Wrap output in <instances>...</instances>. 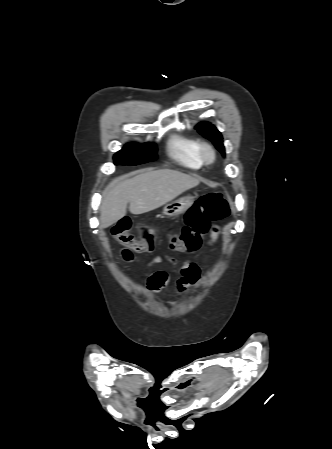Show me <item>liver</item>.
<instances>
[{
	"label": "liver",
	"mask_w": 332,
	"mask_h": 449,
	"mask_svg": "<svg viewBox=\"0 0 332 449\" xmlns=\"http://www.w3.org/2000/svg\"><path fill=\"white\" fill-rule=\"evenodd\" d=\"M200 180L179 171H147L130 179H115L103 192L100 208L102 228H107L130 212L138 215L170 202L183 192L196 187Z\"/></svg>",
	"instance_id": "6515ba94"
}]
</instances>
